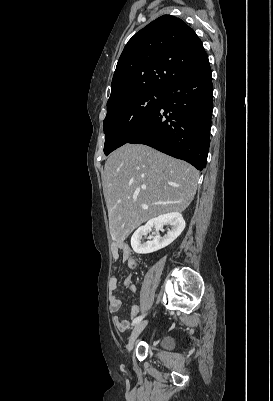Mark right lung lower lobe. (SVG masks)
<instances>
[{"mask_svg": "<svg viewBox=\"0 0 273 401\" xmlns=\"http://www.w3.org/2000/svg\"><path fill=\"white\" fill-rule=\"evenodd\" d=\"M158 108L127 143L151 146L202 170L209 150L213 111L209 63L169 85Z\"/></svg>", "mask_w": 273, "mask_h": 401, "instance_id": "right-lung-lower-lobe-1", "label": "right lung lower lobe"}]
</instances>
